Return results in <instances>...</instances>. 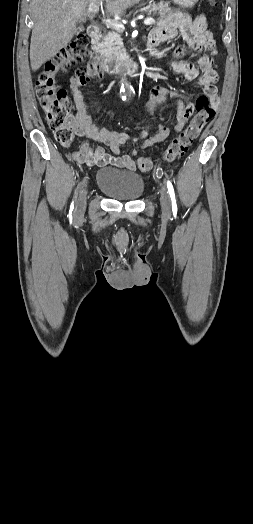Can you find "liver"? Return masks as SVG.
<instances>
[{
  "mask_svg": "<svg viewBox=\"0 0 253 524\" xmlns=\"http://www.w3.org/2000/svg\"><path fill=\"white\" fill-rule=\"evenodd\" d=\"M141 0H106L107 13L119 16ZM103 0H32L33 29L30 43L32 70H38L45 62L67 46L77 31V23L87 16L90 3L101 4Z\"/></svg>",
  "mask_w": 253,
  "mask_h": 524,
  "instance_id": "obj_1",
  "label": "liver"
}]
</instances>
